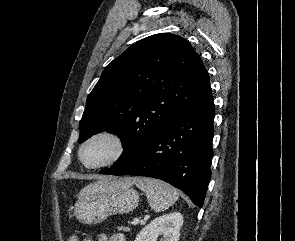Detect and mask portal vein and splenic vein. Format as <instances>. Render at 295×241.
<instances>
[{
	"mask_svg": "<svg viewBox=\"0 0 295 241\" xmlns=\"http://www.w3.org/2000/svg\"><path fill=\"white\" fill-rule=\"evenodd\" d=\"M134 223H135V224H139L140 221H139L138 219H135V220H134Z\"/></svg>",
	"mask_w": 295,
	"mask_h": 241,
	"instance_id": "obj_1",
	"label": "portal vein and splenic vein"
}]
</instances>
